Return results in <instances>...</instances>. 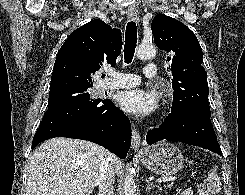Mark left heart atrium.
<instances>
[{
	"instance_id": "39dd6f15",
	"label": "left heart atrium",
	"mask_w": 245,
	"mask_h": 195,
	"mask_svg": "<svg viewBox=\"0 0 245 195\" xmlns=\"http://www.w3.org/2000/svg\"><path fill=\"white\" fill-rule=\"evenodd\" d=\"M117 101L125 112L139 117L149 116L157 109V99L154 94L140 88L120 92Z\"/></svg>"
}]
</instances>
